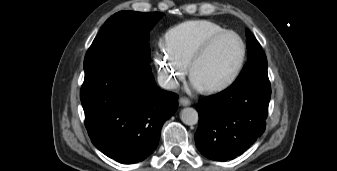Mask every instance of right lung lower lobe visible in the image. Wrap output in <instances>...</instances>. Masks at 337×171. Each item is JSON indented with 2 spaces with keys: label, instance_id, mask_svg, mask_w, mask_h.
<instances>
[{
  "label": "right lung lower lobe",
  "instance_id": "right-lung-lower-lobe-1",
  "mask_svg": "<svg viewBox=\"0 0 337 171\" xmlns=\"http://www.w3.org/2000/svg\"><path fill=\"white\" fill-rule=\"evenodd\" d=\"M84 70L80 98L94 146L120 163L146 159L176 111L178 95L156 86L147 63L110 58Z\"/></svg>",
  "mask_w": 337,
  "mask_h": 171
}]
</instances>
